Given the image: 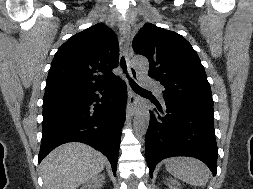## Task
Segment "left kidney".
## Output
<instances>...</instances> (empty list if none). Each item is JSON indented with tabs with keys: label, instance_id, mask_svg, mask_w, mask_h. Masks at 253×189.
<instances>
[{
	"label": "left kidney",
	"instance_id": "5707ae66",
	"mask_svg": "<svg viewBox=\"0 0 253 189\" xmlns=\"http://www.w3.org/2000/svg\"><path fill=\"white\" fill-rule=\"evenodd\" d=\"M169 184L168 186L170 187V189H179L178 187L180 186L179 183H177L175 180H169Z\"/></svg>",
	"mask_w": 253,
	"mask_h": 189
}]
</instances>
